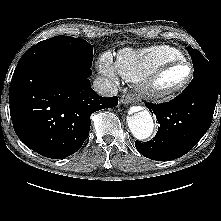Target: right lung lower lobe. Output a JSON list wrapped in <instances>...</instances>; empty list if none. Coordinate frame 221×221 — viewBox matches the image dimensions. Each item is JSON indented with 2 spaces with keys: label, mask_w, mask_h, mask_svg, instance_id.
I'll return each mask as SVG.
<instances>
[{
  "label": "right lung lower lobe",
  "mask_w": 221,
  "mask_h": 221,
  "mask_svg": "<svg viewBox=\"0 0 221 221\" xmlns=\"http://www.w3.org/2000/svg\"><path fill=\"white\" fill-rule=\"evenodd\" d=\"M90 67L32 46L18 62L10 88V114L19 139L42 156L63 159L89 135L92 113L113 108L118 97L91 88Z\"/></svg>",
  "instance_id": "obj_1"
}]
</instances>
